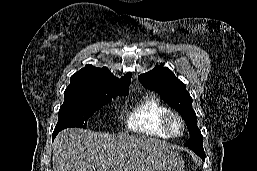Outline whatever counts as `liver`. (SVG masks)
<instances>
[{
    "mask_svg": "<svg viewBox=\"0 0 257 171\" xmlns=\"http://www.w3.org/2000/svg\"><path fill=\"white\" fill-rule=\"evenodd\" d=\"M154 151H171V147L143 136L72 128L56 137L52 162L54 171H142Z\"/></svg>",
    "mask_w": 257,
    "mask_h": 171,
    "instance_id": "obj_1",
    "label": "liver"
}]
</instances>
